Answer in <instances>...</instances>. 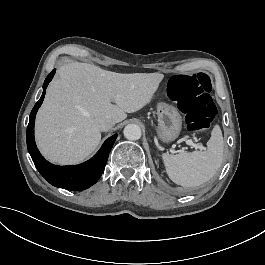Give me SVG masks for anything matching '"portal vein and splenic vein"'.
<instances>
[{
    "label": "portal vein and splenic vein",
    "instance_id": "obj_1",
    "mask_svg": "<svg viewBox=\"0 0 265 265\" xmlns=\"http://www.w3.org/2000/svg\"><path fill=\"white\" fill-rule=\"evenodd\" d=\"M185 142L187 145H190L195 149L205 150V147L202 144H200V143L196 144L191 139H187V140H185Z\"/></svg>",
    "mask_w": 265,
    "mask_h": 265
}]
</instances>
